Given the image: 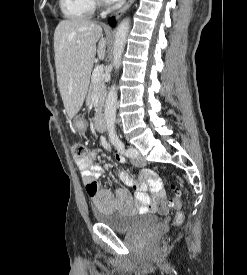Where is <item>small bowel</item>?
Wrapping results in <instances>:
<instances>
[{
	"label": "small bowel",
	"instance_id": "obj_1",
	"mask_svg": "<svg viewBox=\"0 0 247 275\" xmlns=\"http://www.w3.org/2000/svg\"><path fill=\"white\" fill-rule=\"evenodd\" d=\"M95 156L96 152H91L76 163L83 182L86 185L95 184L97 187L94 194H89L97 210L106 213H129L134 211L155 212L167 208L168 203L162 181L153 170L143 169L140 171L141 184L136 183L127 173H120V179L127 186L133 188L132 193L124 189L116 191L101 189L98 180L102 176L103 170L96 163ZM116 160L120 163L125 161L120 154L116 155ZM148 192L151 193V196Z\"/></svg>",
	"mask_w": 247,
	"mask_h": 275
}]
</instances>
